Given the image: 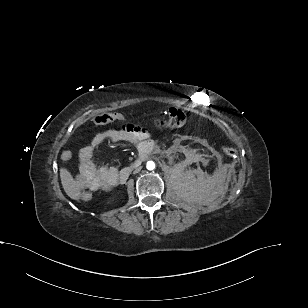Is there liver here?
Here are the masks:
<instances>
[{
  "label": "liver",
  "instance_id": "liver-1",
  "mask_svg": "<svg viewBox=\"0 0 308 308\" xmlns=\"http://www.w3.org/2000/svg\"><path fill=\"white\" fill-rule=\"evenodd\" d=\"M60 178H61V183H62V186H63L66 194L72 199H78L79 198V190H78L77 184L74 181L70 172L65 168H61L60 169Z\"/></svg>",
  "mask_w": 308,
  "mask_h": 308
}]
</instances>
